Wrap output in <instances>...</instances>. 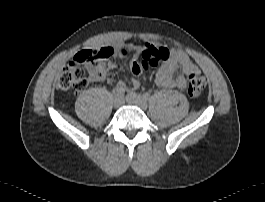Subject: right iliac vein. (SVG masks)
<instances>
[{
	"mask_svg": "<svg viewBox=\"0 0 265 202\" xmlns=\"http://www.w3.org/2000/svg\"><path fill=\"white\" fill-rule=\"evenodd\" d=\"M123 104V98L122 97H115L113 101V105L115 108L120 107Z\"/></svg>",
	"mask_w": 265,
	"mask_h": 202,
	"instance_id": "1",
	"label": "right iliac vein"
}]
</instances>
